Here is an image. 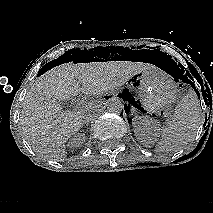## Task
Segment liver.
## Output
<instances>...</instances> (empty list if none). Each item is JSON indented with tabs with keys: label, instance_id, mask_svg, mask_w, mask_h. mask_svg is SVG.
<instances>
[{
	"label": "liver",
	"instance_id": "liver-1",
	"mask_svg": "<svg viewBox=\"0 0 213 213\" xmlns=\"http://www.w3.org/2000/svg\"><path fill=\"white\" fill-rule=\"evenodd\" d=\"M155 69L148 63L108 61L68 62L46 71L35 80L23 100L20 126L27 142L41 157L64 161L65 143L82 127L86 105L64 112L60 102L80 92L100 95L139 72ZM88 104L93 106L94 102Z\"/></svg>",
	"mask_w": 213,
	"mask_h": 213
}]
</instances>
